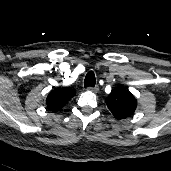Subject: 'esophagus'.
<instances>
[{
	"mask_svg": "<svg viewBox=\"0 0 171 171\" xmlns=\"http://www.w3.org/2000/svg\"><path fill=\"white\" fill-rule=\"evenodd\" d=\"M87 90L90 91V92H95L96 93V92H98L99 87L98 86L88 87Z\"/></svg>",
	"mask_w": 171,
	"mask_h": 171,
	"instance_id": "34e87169",
	"label": "esophagus"
}]
</instances>
